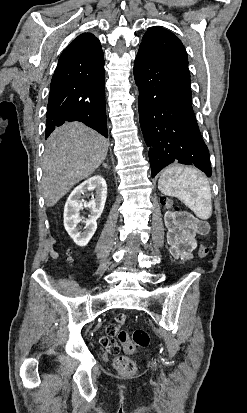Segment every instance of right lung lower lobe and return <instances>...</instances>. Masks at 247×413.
I'll use <instances>...</instances> for the list:
<instances>
[{"instance_id": "obj_1", "label": "right lung lower lobe", "mask_w": 247, "mask_h": 413, "mask_svg": "<svg viewBox=\"0 0 247 413\" xmlns=\"http://www.w3.org/2000/svg\"><path fill=\"white\" fill-rule=\"evenodd\" d=\"M66 121H80L108 137L104 64L82 71L55 70L47 106L46 136Z\"/></svg>"}]
</instances>
